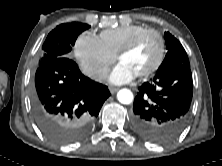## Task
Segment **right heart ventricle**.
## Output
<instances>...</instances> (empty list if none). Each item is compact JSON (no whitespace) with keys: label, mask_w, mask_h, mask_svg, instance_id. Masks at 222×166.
I'll list each match as a JSON object with an SVG mask.
<instances>
[{"label":"right heart ventricle","mask_w":222,"mask_h":166,"mask_svg":"<svg viewBox=\"0 0 222 166\" xmlns=\"http://www.w3.org/2000/svg\"><path fill=\"white\" fill-rule=\"evenodd\" d=\"M145 30L147 27L143 25L120 26L102 31L99 39L111 54L117 55L126 44Z\"/></svg>","instance_id":"right-heart-ventricle-1"}]
</instances>
